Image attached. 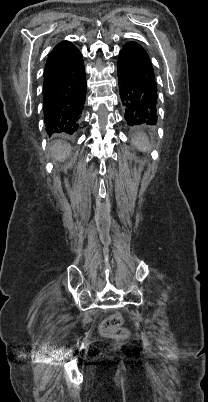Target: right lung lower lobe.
<instances>
[{
    "mask_svg": "<svg viewBox=\"0 0 208 402\" xmlns=\"http://www.w3.org/2000/svg\"><path fill=\"white\" fill-rule=\"evenodd\" d=\"M86 97L83 57L70 42L58 43L49 54L43 83L46 131L73 134L80 123Z\"/></svg>",
    "mask_w": 208,
    "mask_h": 402,
    "instance_id": "98d812e1",
    "label": "right lung lower lobe"
}]
</instances>
